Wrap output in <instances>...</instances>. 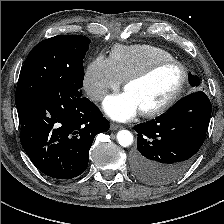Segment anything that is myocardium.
I'll list each match as a JSON object with an SVG mask.
<instances>
[{"label": "myocardium", "mask_w": 224, "mask_h": 224, "mask_svg": "<svg viewBox=\"0 0 224 224\" xmlns=\"http://www.w3.org/2000/svg\"><path fill=\"white\" fill-rule=\"evenodd\" d=\"M169 65H175L181 71L180 81H179L176 89L169 96V98H167L161 104H159L153 108H150V109L141 110L140 111L141 115H143L145 117H153V116L160 115V114L164 113L165 111H167L168 109H170L179 100L182 93L184 92V89H185V86H186V83H187L188 77H189L188 70L183 63H181L180 61L173 59V58L157 60V61L153 62L152 64H150L149 66H147L146 68L128 76L124 80L123 88H124V90H126L127 87L129 85H131L132 83L144 80V79L148 78L149 76H151L153 73H155L160 68H163V67H166Z\"/></svg>", "instance_id": "myocardium-1"}]
</instances>
